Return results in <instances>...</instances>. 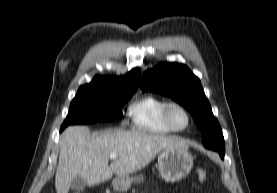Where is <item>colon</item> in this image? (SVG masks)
I'll return each mask as SVG.
<instances>
[{
	"label": "colon",
	"instance_id": "colon-1",
	"mask_svg": "<svg viewBox=\"0 0 277 193\" xmlns=\"http://www.w3.org/2000/svg\"><path fill=\"white\" fill-rule=\"evenodd\" d=\"M197 177L200 182H204L207 179V172L204 169L197 170Z\"/></svg>",
	"mask_w": 277,
	"mask_h": 193
}]
</instances>
